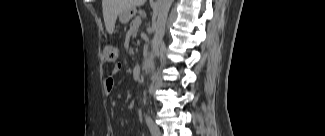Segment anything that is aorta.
Masks as SVG:
<instances>
[{
    "label": "aorta",
    "instance_id": "762f6f07",
    "mask_svg": "<svg viewBox=\"0 0 325 136\" xmlns=\"http://www.w3.org/2000/svg\"><path fill=\"white\" fill-rule=\"evenodd\" d=\"M173 0H159L154 14L153 28L154 37L151 41L152 53L159 51L160 44L165 34L168 12Z\"/></svg>",
    "mask_w": 325,
    "mask_h": 136
}]
</instances>
